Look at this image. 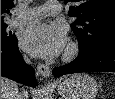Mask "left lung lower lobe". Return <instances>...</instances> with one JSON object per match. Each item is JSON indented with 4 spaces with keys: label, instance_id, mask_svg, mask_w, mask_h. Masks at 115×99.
<instances>
[{
    "label": "left lung lower lobe",
    "instance_id": "1",
    "mask_svg": "<svg viewBox=\"0 0 115 99\" xmlns=\"http://www.w3.org/2000/svg\"><path fill=\"white\" fill-rule=\"evenodd\" d=\"M79 72H115V46L79 53L71 63L53 70V74L58 77Z\"/></svg>",
    "mask_w": 115,
    "mask_h": 99
}]
</instances>
